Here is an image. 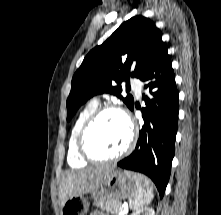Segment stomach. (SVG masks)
Instances as JSON below:
<instances>
[{
  "mask_svg": "<svg viewBox=\"0 0 221 215\" xmlns=\"http://www.w3.org/2000/svg\"><path fill=\"white\" fill-rule=\"evenodd\" d=\"M136 177L144 178L131 172L112 170L91 196L95 202L127 198L135 189ZM88 208V200L83 195L74 196L63 204L61 215H85Z\"/></svg>",
  "mask_w": 221,
  "mask_h": 215,
  "instance_id": "stomach-1",
  "label": "stomach"
}]
</instances>
